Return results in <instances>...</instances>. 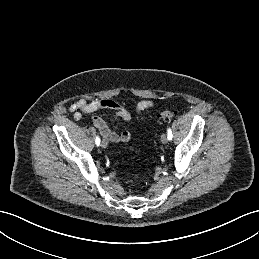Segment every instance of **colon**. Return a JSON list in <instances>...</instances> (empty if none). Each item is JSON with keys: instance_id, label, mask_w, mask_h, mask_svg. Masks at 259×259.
<instances>
[{"instance_id": "1", "label": "colon", "mask_w": 259, "mask_h": 259, "mask_svg": "<svg viewBox=\"0 0 259 259\" xmlns=\"http://www.w3.org/2000/svg\"><path fill=\"white\" fill-rule=\"evenodd\" d=\"M175 112L169 109L163 110L161 111L158 115H157V119L159 122L161 123H165L170 121L174 116H175ZM135 178L138 180H143V177L140 175H135Z\"/></svg>"}]
</instances>
